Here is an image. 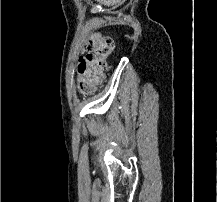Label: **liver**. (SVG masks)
I'll return each instance as SVG.
<instances>
[{"label":"liver","instance_id":"6515ba94","mask_svg":"<svg viewBox=\"0 0 217 202\" xmlns=\"http://www.w3.org/2000/svg\"><path fill=\"white\" fill-rule=\"evenodd\" d=\"M96 2H100V4H104V6H114V8H117V6H120V4H123L126 0H96Z\"/></svg>","mask_w":217,"mask_h":202}]
</instances>
